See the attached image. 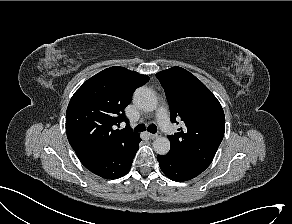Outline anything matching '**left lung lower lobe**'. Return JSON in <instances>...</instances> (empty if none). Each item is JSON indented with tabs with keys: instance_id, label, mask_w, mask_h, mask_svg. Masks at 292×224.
Wrapping results in <instances>:
<instances>
[{
	"instance_id": "1",
	"label": "left lung lower lobe",
	"mask_w": 292,
	"mask_h": 224,
	"mask_svg": "<svg viewBox=\"0 0 292 224\" xmlns=\"http://www.w3.org/2000/svg\"><path fill=\"white\" fill-rule=\"evenodd\" d=\"M157 160L163 173L173 181L191 180L203 172L173 154L158 155Z\"/></svg>"
}]
</instances>
